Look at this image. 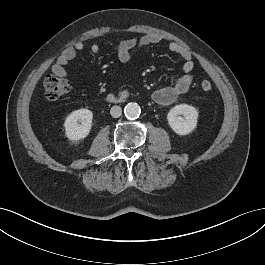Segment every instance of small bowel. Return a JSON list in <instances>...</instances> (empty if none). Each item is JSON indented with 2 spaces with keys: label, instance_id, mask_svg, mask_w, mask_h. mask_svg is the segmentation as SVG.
Returning a JSON list of instances; mask_svg holds the SVG:
<instances>
[{
  "label": "small bowel",
  "instance_id": "small-bowel-1",
  "mask_svg": "<svg viewBox=\"0 0 265 265\" xmlns=\"http://www.w3.org/2000/svg\"><path fill=\"white\" fill-rule=\"evenodd\" d=\"M102 37V35H96L92 38L94 42L90 50L95 55L100 52V45L95 40ZM162 40L163 38L158 34H148L122 40L117 47V56L121 62H128L141 48L158 44L162 42ZM84 49L85 43L83 41H77L72 46L65 48L56 63L52 66V72L58 77L67 78L69 76L67 65L76 57L78 52ZM168 50L182 57L184 62L182 65L183 75L176 80L174 85L162 87L153 92V100L157 104L164 106L175 103L182 95L189 91L194 81V62L191 51L177 42H170L168 44Z\"/></svg>",
  "mask_w": 265,
  "mask_h": 265
}]
</instances>
